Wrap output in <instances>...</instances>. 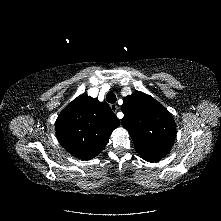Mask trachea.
<instances>
[{
    "mask_svg": "<svg viewBox=\"0 0 221 221\" xmlns=\"http://www.w3.org/2000/svg\"><path fill=\"white\" fill-rule=\"evenodd\" d=\"M106 100L107 102L113 104L116 102V95L113 93V92H109L107 95H106Z\"/></svg>",
    "mask_w": 221,
    "mask_h": 221,
    "instance_id": "3493384b",
    "label": "trachea"
}]
</instances>
